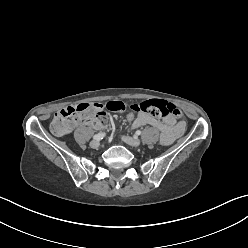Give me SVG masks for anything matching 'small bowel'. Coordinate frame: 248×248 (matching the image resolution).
<instances>
[{
	"instance_id": "obj_1",
	"label": "small bowel",
	"mask_w": 248,
	"mask_h": 248,
	"mask_svg": "<svg viewBox=\"0 0 248 248\" xmlns=\"http://www.w3.org/2000/svg\"><path fill=\"white\" fill-rule=\"evenodd\" d=\"M130 124L132 129L147 125L155 127L160 131V143L165 146L173 143L184 131V123L182 121L177 122L172 116L157 119L151 115L139 113L134 115V119ZM118 135L119 132L117 130L112 132L111 140L115 145L120 143Z\"/></svg>"
}]
</instances>
